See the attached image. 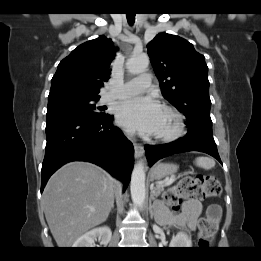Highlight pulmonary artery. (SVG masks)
<instances>
[{
    "mask_svg": "<svg viewBox=\"0 0 261 261\" xmlns=\"http://www.w3.org/2000/svg\"><path fill=\"white\" fill-rule=\"evenodd\" d=\"M151 87V75L140 74L119 88L110 89L104 96L103 101L107 102L119 98L135 96L148 90Z\"/></svg>",
    "mask_w": 261,
    "mask_h": 261,
    "instance_id": "1",
    "label": "pulmonary artery"
}]
</instances>
